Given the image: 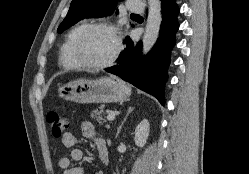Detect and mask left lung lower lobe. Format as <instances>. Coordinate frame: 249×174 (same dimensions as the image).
Masks as SVG:
<instances>
[{"mask_svg": "<svg viewBox=\"0 0 249 174\" xmlns=\"http://www.w3.org/2000/svg\"><path fill=\"white\" fill-rule=\"evenodd\" d=\"M163 21L160 36L147 56L141 55L142 43L134 45L127 37V48L121 53L119 66L106 69L139 89L155 96L164 105V85L168 79L167 67L170 52L175 44V33L179 28L177 15L179 7L176 0H161Z\"/></svg>", "mask_w": 249, "mask_h": 174, "instance_id": "left-lung-lower-lobe-1", "label": "left lung lower lobe"}]
</instances>
